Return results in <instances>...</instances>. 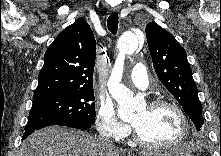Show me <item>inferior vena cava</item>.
<instances>
[{"instance_id": "obj_1", "label": "inferior vena cava", "mask_w": 221, "mask_h": 156, "mask_svg": "<svg viewBox=\"0 0 221 156\" xmlns=\"http://www.w3.org/2000/svg\"><path fill=\"white\" fill-rule=\"evenodd\" d=\"M100 141L102 142L103 145L105 146H113L112 141L109 140L107 137H102L100 139Z\"/></svg>"}]
</instances>
